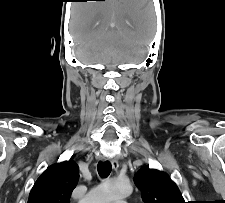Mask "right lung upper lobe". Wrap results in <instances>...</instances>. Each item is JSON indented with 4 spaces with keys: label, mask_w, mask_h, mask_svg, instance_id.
<instances>
[{
    "label": "right lung upper lobe",
    "mask_w": 225,
    "mask_h": 203,
    "mask_svg": "<svg viewBox=\"0 0 225 203\" xmlns=\"http://www.w3.org/2000/svg\"><path fill=\"white\" fill-rule=\"evenodd\" d=\"M78 177V166L70 160L48 167L34 184L28 203H69Z\"/></svg>",
    "instance_id": "right-lung-upper-lobe-1"
}]
</instances>
